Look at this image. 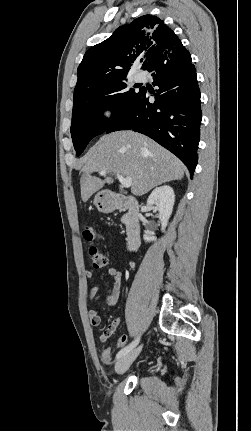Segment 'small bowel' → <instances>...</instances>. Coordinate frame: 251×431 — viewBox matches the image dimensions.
I'll return each instance as SVG.
<instances>
[{"mask_svg": "<svg viewBox=\"0 0 251 431\" xmlns=\"http://www.w3.org/2000/svg\"><path fill=\"white\" fill-rule=\"evenodd\" d=\"M107 274L113 278V283L109 288L106 296V300H105L106 305L101 307V311L103 312H106L108 310V307L114 306L117 303L120 295L121 283H122V277H123V273L114 267H109L107 269ZM85 276L93 283V286L89 293L90 300L98 301L100 298V295H99L100 284L97 281L94 272L91 270H86ZM88 317L92 326L98 327L101 325L102 316L100 315L99 311L94 309L89 310ZM120 322H121L120 317H115L114 319H112L111 322L107 325L106 329L103 331V333L99 336V341L102 343L107 342L109 338L117 330ZM105 350L114 351V349H109V347L106 348Z\"/></svg>", "mask_w": 251, "mask_h": 431, "instance_id": "c3829d8e", "label": "small bowel"}]
</instances>
